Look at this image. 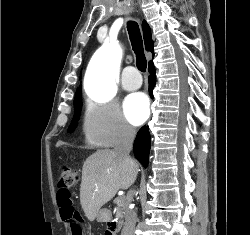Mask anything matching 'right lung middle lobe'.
<instances>
[{
    "mask_svg": "<svg viewBox=\"0 0 250 235\" xmlns=\"http://www.w3.org/2000/svg\"><path fill=\"white\" fill-rule=\"evenodd\" d=\"M81 107H82V100H81V94H78L75 96L74 99V117L73 120L71 122V125L69 127L68 131H73L77 125V121L80 117V113H81Z\"/></svg>",
    "mask_w": 250,
    "mask_h": 235,
    "instance_id": "1",
    "label": "right lung middle lobe"
}]
</instances>
